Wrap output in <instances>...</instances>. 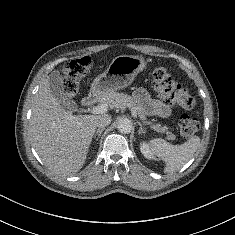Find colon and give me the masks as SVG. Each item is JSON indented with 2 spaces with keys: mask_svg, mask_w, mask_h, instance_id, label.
<instances>
[{
  "mask_svg": "<svg viewBox=\"0 0 235 235\" xmlns=\"http://www.w3.org/2000/svg\"><path fill=\"white\" fill-rule=\"evenodd\" d=\"M91 68L89 57H81L71 60L64 68L61 76L62 95L70 101L77 95L81 87V79ZM152 83L158 95L167 103L192 109L195 101L188 90L173 80L171 75L164 68H156L152 73ZM179 129L183 136L190 137L199 129V122L196 118L182 115L179 118Z\"/></svg>",
  "mask_w": 235,
  "mask_h": 235,
  "instance_id": "colon-1",
  "label": "colon"
}]
</instances>
